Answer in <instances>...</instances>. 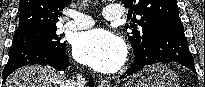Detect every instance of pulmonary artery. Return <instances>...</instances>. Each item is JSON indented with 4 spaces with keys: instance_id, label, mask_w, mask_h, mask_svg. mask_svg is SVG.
<instances>
[{
    "instance_id": "obj_1",
    "label": "pulmonary artery",
    "mask_w": 205,
    "mask_h": 87,
    "mask_svg": "<svg viewBox=\"0 0 205 87\" xmlns=\"http://www.w3.org/2000/svg\"><path fill=\"white\" fill-rule=\"evenodd\" d=\"M125 15L124 9L120 5H109L104 9L103 17L106 20H116L123 18ZM71 17V21L63 25V29L66 30H82L90 28L94 25V19L86 14L71 11L68 13Z\"/></svg>"
}]
</instances>
